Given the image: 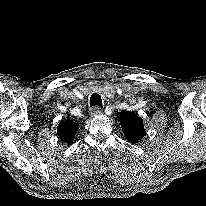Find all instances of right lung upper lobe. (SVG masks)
I'll use <instances>...</instances> for the list:
<instances>
[{
    "label": "right lung upper lobe",
    "instance_id": "obj_1",
    "mask_svg": "<svg viewBox=\"0 0 206 206\" xmlns=\"http://www.w3.org/2000/svg\"><path fill=\"white\" fill-rule=\"evenodd\" d=\"M76 132V125L69 121H61L57 127L59 138L66 144H71L73 142Z\"/></svg>",
    "mask_w": 206,
    "mask_h": 206
}]
</instances>
